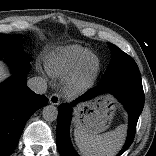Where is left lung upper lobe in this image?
Returning a JSON list of instances; mask_svg holds the SVG:
<instances>
[{
	"label": "left lung upper lobe",
	"mask_w": 156,
	"mask_h": 156,
	"mask_svg": "<svg viewBox=\"0 0 156 156\" xmlns=\"http://www.w3.org/2000/svg\"><path fill=\"white\" fill-rule=\"evenodd\" d=\"M111 50V62L99 83L109 81L141 82V76L135 61L114 44L108 43Z\"/></svg>",
	"instance_id": "5c2ea615"
}]
</instances>
